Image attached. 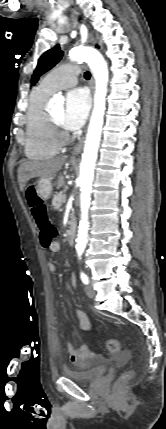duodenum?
I'll return each mask as SVG.
<instances>
[{
  "mask_svg": "<svg viewBox=\"0 0 166 429\" xmlns=\"http://www.w3.org/2000/svg\"><path fill=\"white\" fill-rule=\"evenodd\" d=\"M75 234H76L75 223L74 221H71L69 225V229L67 231V240L70 245H73L75 242Z\"/></svg>",
  "mask_w": 166,
  "mask_h": 429,
  "instance_id": "obj_1",
  "label": "duodenum"
}]
</instances>
